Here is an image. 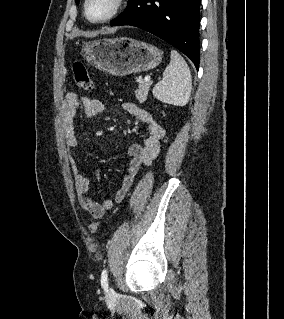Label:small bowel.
Masks as SVG:
<instances>
[{
  "instance_id": "small-bowel-1",
  "label": "small bowel",
  "mask_w": 284,
  "mask_h": 319,
  "mask_svg": "<svg viewBox=\"0 0 284 319\" xmlns=\"http://www.w3.org/2000/svg\"><path fill=\"white\" fill-rule=\"evenodd\" d=\"M80 107L88 117L96 116L104 110V104L98 99L80 98L76 93H67L62 102L61 117L65 141L69 147H77L79 144L74 120ZM123 109L144 123L146 135L142 143L131 144L126 149L129 157L127 171L124 174L121 186L115 193L114 201L103 198L99 202L91 198L88 194L91 185L90 179L80 173L75 160L71 162L80 207L95 219L101 218L105 212L111 210L114 202H121L125 198L141 167L150 165L157 157L161 140L165 135L164 128L147 111L133 103H125ZM95 179H99L98 172L95 173Z\"/></svg>"
}]
</instances>
